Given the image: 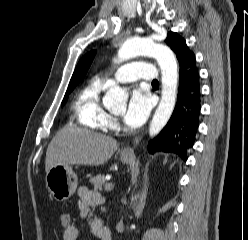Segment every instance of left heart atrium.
Here are the masks:
<instances>
[{
  "label": "left heart atrium",
  "instance_id": "left-heart-atrium-1",
  "mask_svg": "<svg viewBox=\"0 0 248 240\" xmlns=\"http://www.w3.org/2000/svg\"><path fill=\"white\" fill-rule=\"evenodd\" d=\"M151 108L152 101L149 93L141 87L134 88L123 116L124 122L130 127L142 125L147 119Z\"/></svg>",
  "mask_w": 248,
  "mask_h": 240
}]
</instances>
